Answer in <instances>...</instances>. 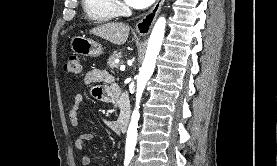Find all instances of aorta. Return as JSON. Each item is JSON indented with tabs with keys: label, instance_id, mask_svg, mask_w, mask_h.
Returning <instances> with one entry per match:
<instances>
[{
	"label": "aorta",
	"instance_id": "obj_1",
	"mask_svg": "<svg viewBox=\"0 0 277 166\" xmlns=\"http://www.w3.org/2000/svg\"><path fill=\"white\" fill-rule=\"evenodd\" d=\"M166 20L164 17H160L152 30L149 38L148 47L145 55V59L142 67L140 68L139 75L137 76V91H136V108L132 113L131 122L127 131L126 149L134 150L137 140V127L139 114V103L146 86V83L150 79L155 69V63L157 56L160 52L162 41L164 38Z\"/></svg>",
	"mask_w": 277,
	"mask_h": 166
}]
</instances>
